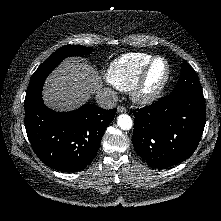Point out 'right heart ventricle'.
Segmentation results:
<instances>
[{
	"mask_svg": "<svg viewBox=\"0 0 221 221\" xmlns=\"http://www.w3.org/2000/svg\"><path fill=\"white\" fill-rule=\"evenodd\" d=\"M153 58L147 53H128L114 60L106 71L107 80L121 91L133 86L144 66Z\"/></svg>",
	"mask_w": 221,
	"mask_h": 221,
	"instance_id": "right-heart-ventricle-1",
	"label": "right heart ventricle"
}]
</instances>
